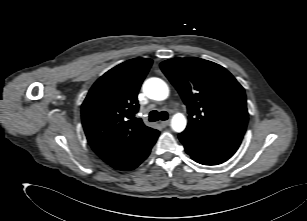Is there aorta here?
<instances>
[{"label":"aorta","instance_id":"aorta-1","mask_svg":"<svg viewBox=\"0 0 307 221\" xmlns=\"http://www.w3.org/2000/svg\"><path fill=\"white\" fill-rule=\"evenodd\" d=\"M143 91L146 96L156 101L165 100L169 96L167 84L160 78H150L143 84ZM186 118L183 114L177 113L172 117L171 127L175 132H182L186 128Z\"/></svg>","mask_w":307,"mask_h":221}]
</instances>
